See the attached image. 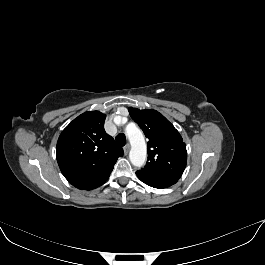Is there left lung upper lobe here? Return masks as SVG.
Listing matches in <instances>:
<instances>
[{"label":"left lung upper lobe","mask_w":265,"mask_h":265,"mask_svg":"<svg viewBox=\"0 0 265 265\" xmlns=\"http://www.w3.org/2000/svg\"><path fill=\"white\" fill-rule=\"evenodd\" d=\"M128 111L148 138V161L138 172L178 180L187 161L186 145L179 132L156 110L129 107Z\"/></svg>","instance_id":"obj_1"}]
</instances>
